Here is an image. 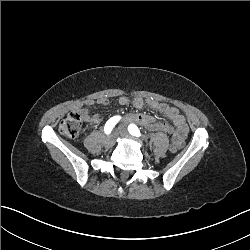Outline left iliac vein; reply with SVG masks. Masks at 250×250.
<instances>
[{"label":"left iliac vein","mask_w":250,"mask_h":250,"mask_svg":"<svg viewBox=\"0 0 250 250\" xmlns=\"http://www.w3.org/2000/svg\"><path fill=\"white\" fill-rule=\"evenodd\" d=\"M119 134L121 135V136H124V137H127V138H130V139H136L134 136H132L131 134H129L128 132H127V130L125 129V128H120L119 129Z\"/></svg>","instance_id":"4c4485c4"}]
</instances>
